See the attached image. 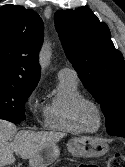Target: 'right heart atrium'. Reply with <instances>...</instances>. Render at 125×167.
Returning a JSON list of instances; mask_svg holds the SVG:
<instances>
[{
    "label": "right heart atrium",
    "mask_w": 125,
    "mask_h": 167,
    "mask_svg": "<svg viewBox=\"0 0 125 167\" xmlns=\"http://www.w3.org/2000/svg\"><path fill=\"white\" fill-rule=\"evenodd\" d=\"M26 107L34 118L39 117L44 113L45 107L39 101L38 95L35 91L31 92L26 99Z\"/></svg>",
    "instance_id": "d8ad5b80"
}]
</instances>
